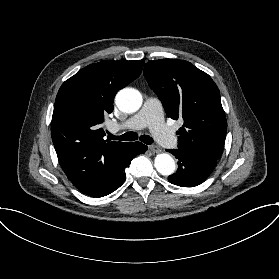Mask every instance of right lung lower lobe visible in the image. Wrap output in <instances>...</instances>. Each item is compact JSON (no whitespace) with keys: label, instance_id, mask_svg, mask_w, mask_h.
Masks as SVG:
<instances>
[{"label":"right lung lower lobe","instance_id":"1","mask_svg":"<svg viewBox=\"0 0 279 279\" xmlns=\"http://www.w3.org/2000/svg\"><path fill=\"white\" fill-rule=\"evenodd\" d=\"M147 150V146L143 145L140 142L133 143L130 148V153L123 162V164L117 169V171L114 173V175L93 195H90L91 197H103L106 196L116 189H118L125 181V173L124 169L127 167L131 160L135 157V155L144 153Z\"/></svg>","mask_w":279,"mask_h":279}]
</instances>
